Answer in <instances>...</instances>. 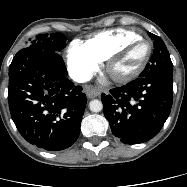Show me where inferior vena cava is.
Here are the masks:
<instances>
[{
	"label": "inferior vena cava",
	"mask_w": 187,
	"mask_h": 187,
	"mask_svg": "<svg viewBox=\"0 0 187 187\" xmlns=\"http://www.w3.org/2000/svg\"><path fill=\"white\" fill-rule=\"evenodd\" d=\"M70 77L78 83H84L91 79V74L83 71H72Z\"/></svg>",
	"instance_id": "1"
}]
</instances>
